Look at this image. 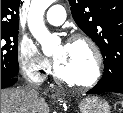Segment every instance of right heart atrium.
Instances as JSON below:
<instances>
[{"label":"right heart atrium","mask_w":123,"mask_h":113,"mask_svg":"<svg viewBox=\"0 0 123 113\" xmlns=\"http://www.w3.org/2000/svg\"><path fill=\"white\" fill-rule=\"evenodd\" d=\"M17 59L23 75L35 84L41 83L50 73V62L30 40L19 41Z\"/></svg>","instance_id":"1"}]
</instances>
